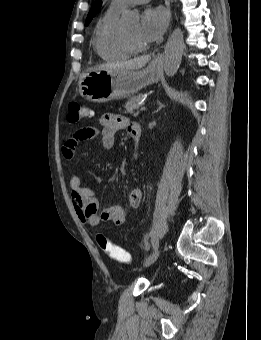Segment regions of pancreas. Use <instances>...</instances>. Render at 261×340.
<instances>
[{
    "label": "pancreas",
    "mask_w": 261,
    "mask_h": 340,
    "mask_svg": "<svg viewBox=\"0 0 261 340\" xmlns=\"http://www.w3.org/2000/svg\"><path fill=\"white\" fill-rule=\"evenodd\" d=\"M141 99H142L141 94L131 97L125 104L126 113H130L133 116H137L139 114L138 109Z\"/></svg>",
    "instance_id": "cf45deb5"
}]
</instances>
